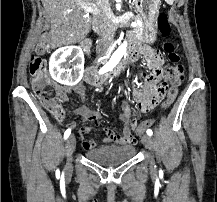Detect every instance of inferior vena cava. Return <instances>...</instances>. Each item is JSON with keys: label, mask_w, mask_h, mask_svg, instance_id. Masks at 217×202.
<instances>
[{"label": "inferior vena cava", "mask_w": 217, "mask_h": 202, "mask_svg": "<svg viewBox=\"0 0 217 202\" xmlns=\"http://www.w3.org/2000/svg\"><path fill=\"white\" fill-rule=\"evenodd\" d=\"M96 4L99 10H103V8H106V6H108V0H96ZM95 24L99 28L100 20L99 18H96V16H95ZM98 36H99L98 46H97L98 54H104V52H106L111 42V34L110 32H107V30H100Z\"/></svg>", "instance_id": "1"}]
</instances>
